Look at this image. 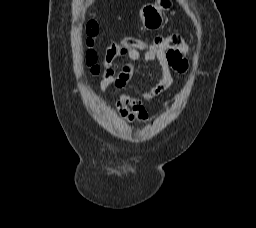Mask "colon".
Returning <instances> with one entry per match:
<instances>
[{
  "label": "colon",
  "instance_id": "colon-1",
  "mask_svg": "<svg viewBox=\"0 0 256 228\" xmlns=\"http://www.w3.org/2000/svg\"><path fill=\"white\" fill-rule=\"evenodd\" d=\"M99 34V24L96 20L92 19L87 23L86 26V45L88 50L86 52V63L90 68V71L93 75L98 76L103 73L104 64H113L117 62L122 53L126 50L137 49L143 47V43L138 41L135 38H124L118 42H112L105 50L104 54V63L101 66L97 62V53L93 49L96 38ZM168 46L176 51H179L182 54L188 52V46L182 36L178 34L171 35L167 37Z\"/></svg>",
  "mask_w": 256,
  "mask_h": 228
}]
</instances>
